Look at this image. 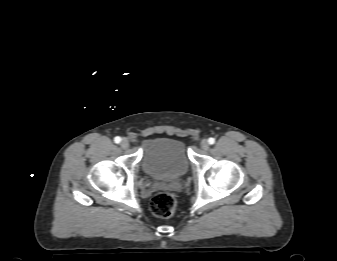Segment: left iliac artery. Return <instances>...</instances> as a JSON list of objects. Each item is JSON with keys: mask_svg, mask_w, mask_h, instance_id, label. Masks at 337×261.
Returning a JSON list of instances; mask_svg holds the SVG:
<instances>
[{"mask_svg": "<svg viewBox=\"0 0 337 261\" xmlns=\"http://www.w3.org/2000/svg\"><path fill=\"white\" fill-rule=\"evenodd\" d=\"M208 142H209V144H214L215 143V139L211 137V138L208 139Z\"/></svg>", "mask_w": 337, "mask_h": 261, "instance_id": "44dca946", "label": "left iliac artery"}]
</instances>
